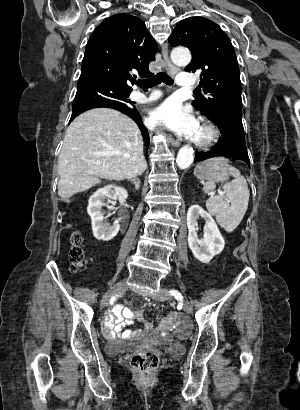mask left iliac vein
<instances>
[{
    "instance_id": "obj_1",
    "label": "left iliac vein",
    "mask_w": 300,
    "mask_h": 410,
    "mask_svg": "<svg viewBox=\"0 0 300 410\" xmlns=\"http://www.w3.org/2000/svg\"><path fill=\"white\" fill-rule=\"evenodd\" d=\"M152 298L154 300H157V301H165V300L170 299L171 296H170V294L168 293V291L166 289L162 288V289H160L159 293L153 295ZM182 304H183V310L186 313L190 314L192 312L191 304L187 301H182Z\"/></svg>"
}]
</instances>
